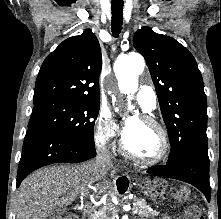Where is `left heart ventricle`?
Masks as SVG:
<instances>
[{"instance_id": "1", "label": "left heart ventricle", "mask_w": 221, "mask_h": 219, "mask_svg": "<svg viewBox=\"0 0 221 219\" xmlns=\"http://www.w3.org/2000/svg\"><path fill=\"white\" fill-rule=\"evenodd\" d=\"M130 131L124 138L128 150L143 158H152L158 154L161 146L158 131L139 119L128 122Z\"/></svg>"}]
</instances>
